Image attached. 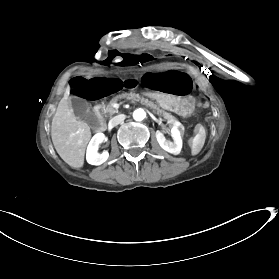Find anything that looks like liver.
<instances>
[{"mask_svg": "<svg viewBox=\"0 0 279 279\" xmlns=\"http://www.w3.org/2000/svg\"><path fill=\"white\" fill-rule=\"evenodd\" d=\"M67 90L58 103L51 123V139L61 159L71 167L79 168L84 163V154L91 138L89 126L77 120L69 103Z\"/></svg>", "mask_w": 279, "mask_h": 279, "instance_id": "obj_1", "label": "liver"}]
</instances>
